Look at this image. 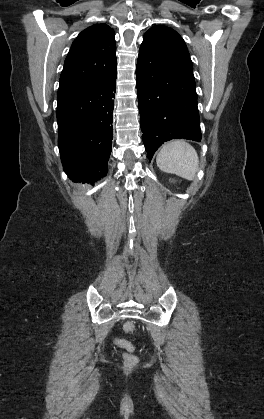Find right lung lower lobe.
Here are the masks:
<instances>
[{"instance_id":"right-lung-lower-lobe-1","label":"right lung lower lobe","mask_w":264,"mask_h":419,"mask_svg":"<svg viewBox=\"0 0 264 419\" xmlns=\"http://www.w3.org/2000/svg\"><path fill=\"white\" fill-rule=\"evenodd\" d=\"M116 74L98 83L58 91V146L64 171L74 182L94 183L107 174Z\"/></svg>"}]
</instances>
